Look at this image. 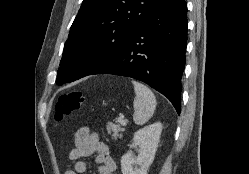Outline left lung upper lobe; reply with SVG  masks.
I'll return each mask as SVG.
<instances>
[{
  "label": "left lung upper lobe",
  "mask_w": 249,
  "mask_h": 174,
  "mask_svg": "<svg viewBox=\"0 0 249 174\" xmlns=\"http://www.w3.org/2000/svg\"><path fill=\"white\" fill-rule=\"evenodd\" d=\"M160 0H83L64 46L56 83L108 68Z\"/></svg>",
  "instance_id": "1"
}]
</instances>
